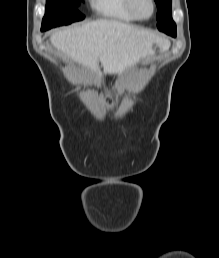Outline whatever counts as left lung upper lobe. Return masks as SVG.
<instances>
[{"label":"left lung upper lobe","mask_w":219,"mask_h":258,"mask_svg":"<svg viewBox=\"0 0 219 258\" xmlns=\"http://www.w3.org/2000/svg\"><path fill=\"white\" fill-rule=\"evenodd\" d=\"M157 5V28L168 34L176 32V24L172 19V0H154Z\"/></svg>","instance_id":"1"}]
</instances>
